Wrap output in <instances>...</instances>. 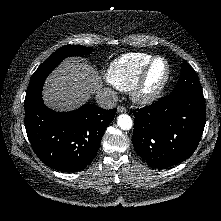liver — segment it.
I'll list each match as a JSON object with an SVG mask.
<instances>
[{"instance_id": "obj_1", "label": "liver", "mask_w": 221, "mask_h": 221, "mask_svg": "<svg viewBox=\"0 0 221 221\" xmlns=\"http://www.w3.org/2000/svg\"><path fill=\"white\" fill-rule=\"evenodd\" d=\"M101 87V76L87 61L68 58L46 80L44 102L58 111L72 110L87 102Z\"/></svg>"}]
</instances>
